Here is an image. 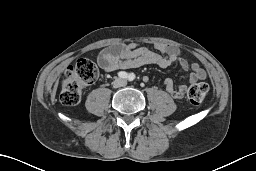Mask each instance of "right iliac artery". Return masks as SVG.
Instances as JSON below:
<instances>
[{"label": "right iliac artery", "mask_w": 256, "mask_h": 171, "mask_svg": "<svg viewBox=\"0 0 256 171\" xmlns=\"http://www.w3.org/2000/svg\"><path fill=\"white\" fill-rule=\"evenodd\" d=\"M118 76H119L120 78L127 79L128 76H129V74H128L127 72H125V71H120V72L118 73Z\"/></svg>", "instance_id": "82829eb1"}]
</instances>
